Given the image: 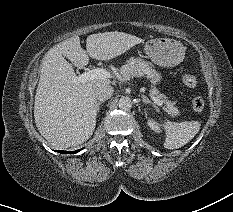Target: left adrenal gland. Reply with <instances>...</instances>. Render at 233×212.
I'll return each instance as SVG.
<instances>
[{"label": "left adrenal gland", "mask_w": 233, "mask_h": 212, "mask_svg": "<svg viewBox=\"0 0 233 212\" xmlns=\"http://www.w3.org/2000/svg\"><path fill=\"white\" fill-rule=\"evenodd\" d=\"M142 101L146 104H152L155 107V105L145 95H142Z\"/></svg>", "instance_id": "a2214340"}]
</instances>
